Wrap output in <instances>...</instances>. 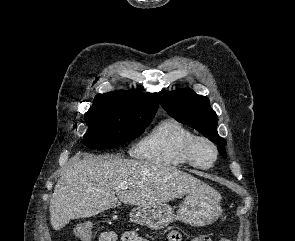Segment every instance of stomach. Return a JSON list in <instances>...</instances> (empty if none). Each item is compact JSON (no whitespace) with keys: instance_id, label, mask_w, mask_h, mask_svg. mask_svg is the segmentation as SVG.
Returning a JSON list of instances; mask_svg holds the SVG:
<instances>
[{"instance_id":"stomach-1","label":"stomach","mask_w":295,"mask_h":241,"mask_svg":"<svg viewBox=\"0 0 295 241\" xmlns=\"http://www.w3.org/2000/svg\"><path fill=\"white\" fill-rule=\"evenodd\" d=\"M221 195L210 188L188 194L177 213L168 204L138 205L130 212V219L152 230H160L175 220L195 227L212 224L221 214Z\"/></svg>"}]
</instances>
